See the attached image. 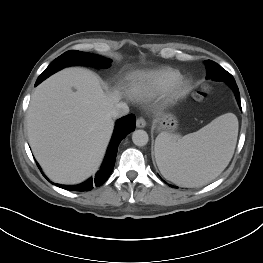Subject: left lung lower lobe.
I'll use <instances>...</instances> for the list:
<instances>
[{
    "label": "left lung lower lobe",
    "instance_id": "left-lung-lower-lobe-1",
    "mask_svg": "<svg viewBox=\"0 0 263 263\" xmlns=\"http://www.w3.org/2000/svg\"><path fill=\"white\" fill-rule=\"evenodd\" d=\"M206 65H207V78L215 77V74H216L215 71L221 67L220 65H218L217 63H215L211 60H207ZM226 83L229 84L231 86V88L233 89L235 96H236V99H237V102H238L239 106L241 107L240 94H239V90H238V87L236 85V82L235 81H229Z\"/></svg>",
    "mask_w": 263,
    "mask_h": 263
}]
</instances>
